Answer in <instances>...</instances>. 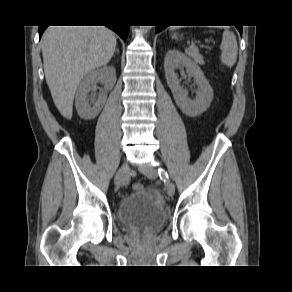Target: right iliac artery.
<instances>
[{"label": "right iliac artery", "mask_w": 292, "mask_h": 292, "mask_svg": "<svg viewBox=\"0 0 292 292\" xmlns=\"http://www.w3.org/2000/svg\"><path fill=\"white\" fill-rule=\"evenodd\" d=\"M128 182H132V180L131 179H128Z\"/></svg>", "instance_id": "82829eb1"}]
</instances>
